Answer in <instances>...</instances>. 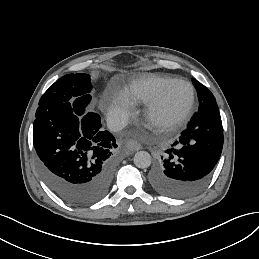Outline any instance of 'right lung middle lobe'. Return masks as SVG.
I'll use <instances>...</instances> for the list:
<instances>
[{
	"label": "right lung middle lobe",
	"instance_id": "dd1d6c3e",
	"mask_svg": "<svg viewBox=\"0 0 259 259\" xmlns=\"http://www.w3.org/2000/svg\"><path fill=\"white\" fill-rule=\"evenodd\" d=\"M90 75L68 74L58 79L41 97L39 106L44 104L70 102L79 112L84 113L91 100Z\"/></svg>",
	"mask_w": 259,
	"mask_h": 259
}]
</instances>
